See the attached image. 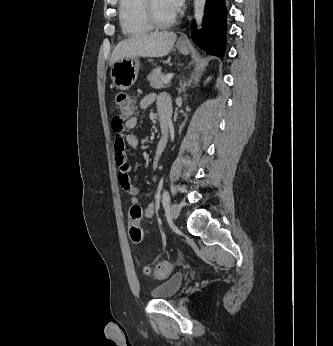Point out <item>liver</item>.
I'll return each mask as SVG.
<instances>
[{
  "label": "liver",
  "mask_w": 333,
  "mask_h": 346,
  "mask_svg": "<svg viewBox=\"0 0 333 346\" xmlns=\"http://www.w3.org/2000/svg\"><path fill=\"white\" fill-rule=\"evenodd\" d=\"M177 35L173 32H155L125 39L112 52L110 64L122 58L164 57L173 48Z\"/></svg>",
  "instance_id": "6515ba94"
}]
</instances>
